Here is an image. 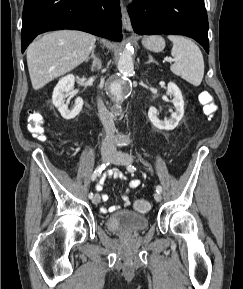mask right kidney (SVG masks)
I'll list each match as a JSON object with an SVG mask.
<instances>
[{
  "label": "right kidney",
  "instance_id": "1",
  "mask_svg": "<svg viewBox=\"0 0 243 289\" xmlns=\"http://www.w3.org/2000/svg\"><path fill=\"white\" fill-rule=\"evenodd\" d=\"M74 83H75L74 75L72 74L66 75L65 77H62L59 80L52 94V103L58 109L61 116L66 120L75 118L80 113L83 106V100L80 97L76 98L75 106L71 110L68 109V105L65 104L64 100L65 93L66 94L70 93V91L74 87Z\"/></svg>",
  "mask_w": 243,
  "mask_h": 289
}]
</instances>
